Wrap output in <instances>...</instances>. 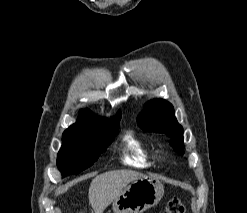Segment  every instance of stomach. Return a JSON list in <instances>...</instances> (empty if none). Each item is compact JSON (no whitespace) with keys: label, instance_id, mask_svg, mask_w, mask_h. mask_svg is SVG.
Here are the masks:
<instances>
[{"label":"stomach","instance_id":"0dacf381","mask_svg":"<svg viewBox=\"0 0 247 213\" xmlns=\"http://www.w3.org/2000/svg\"><path fill=\"white\" fill-rule=\"evenodd\" d=\"M164 195L160 180L143 177L128 184L113 201V213H143L157 205Z\"/></svg>","mask_w":247,"mask_h":213}]
</instances>
